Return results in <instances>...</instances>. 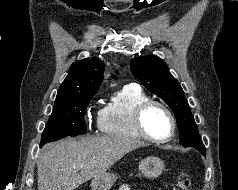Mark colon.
I'll use <instances>...</instances> for the list:
<instances>
[{
    "label": "colon",
    "mask_w": 238,
    "mask_h": 190,
    "mask_svg": "<svg viewBox=\"0 0 238 190\" xmlns=\"http://www.w3.org/2000/svg\"><path fill=\"white\" fill-rule=\"evenodd\" d=\"M173 190H192V183L186 173L180 174Z\"/></svg>",
    "instance_id": "1"
}]
</instances>
